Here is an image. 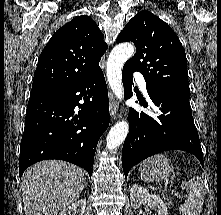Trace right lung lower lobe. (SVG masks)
<instances>
[{
    "mask_svg": "<svg viewBox=\"0 0 221 215\" xmlns=\"http://www.w3.org/2000/svg\"><path fill=\"white\" fill-rule=\"evenodd\" d=\"M109 119L101 68L61 90L31 97L20 145V177L27 167L47 159L71 162L91 176L97 143Z\"/></svg>",
    "mask_w": 221,
    "mask_h": 215,
    "instance_id": "right-lung-lower-lobe-1",
    "label": "right lung lower lobe"
}]
</instances>
